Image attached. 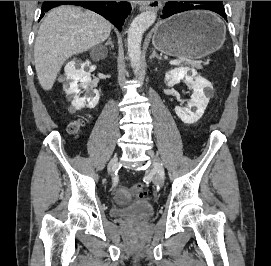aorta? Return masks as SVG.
<instances>
[{"label":"aorta","instance_id":"762f6f07","mask_svg":"<svg viewBox=\"0 0 271 266\" xmlns=\"http://www.w3.org/2000/svg\"><path fill=\"white\" fill-rule=\"evenodd\" d=\"M156 12L146 11L139 14L130 24L127 35L128 56L136 75L141 68V41L144 32L155 22Z\"/></svg>","mask_w":271,"mask_h":266}]
</instances>
